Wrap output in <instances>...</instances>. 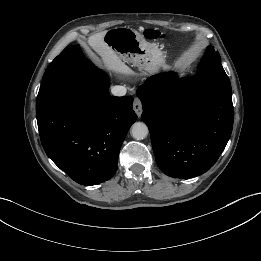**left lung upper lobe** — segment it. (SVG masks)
I'll return each mask as SVG.
<instances>
[{"label": "left lung upper lobe", "instance_id": "left-lung-upper-lobe-1", "mask_svg": "<svg viewBox=\"0 0 261 261\" xmlns=\"http://www.w3.org/2000/svg\"><path fill=\"white\" fill-rule=\"evenodd\" d=\"M203 61H215L217 63H221L219 53L216 52L212 46L208 47L207 52L201 62Z\"/></svg>", "mask_w": 261, "mask_h": 261}]
</instances>
